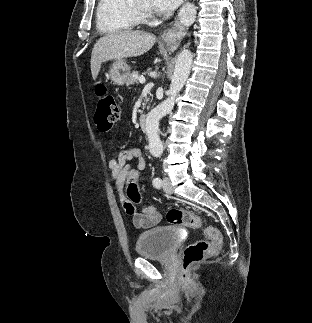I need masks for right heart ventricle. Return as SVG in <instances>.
<instances>
[{
    "label": "right heart ventricle",
    "instance_id": "obj_1",
    "mask_svg": "<svg viewBox=\"0 0 312 323\" xmlns=\"http://www.w3.org/2000/svg\"><path fill=\"white\" fill-rule=\"evenodd\" d=\"M144 20V13H137L124 0H99L94 7L95 29L102 33H115L116 29H131Z\"/></svg>",
    "mask_w": 312,
    "mask_h": 323
}]
</instances>
